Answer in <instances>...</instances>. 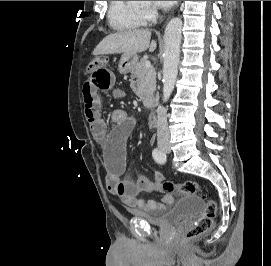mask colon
Listing matches in <instances>:
<instances>
[{
	"label": "colon",
	"mask_w": 271,
	"mask_h": 266,
	"mask_svg": "<svg viewBox=\"0 0 271 266\" xmlns=\"http://www.w3.org/2000/svg\"><path fill=\"white\" fill-rule=\"evenodd\" d=\"M108 58L96 57L92 59L88 65V70L108 65ZM162 187L165 191L180 195H202L206 199L205 207L198 220L187 230L185 239L187 241L194 240L206 234L213 226L214 218L217 211V204L213 199L203 194L200 185L195 181H187L184 183H174L172 181H164Z\"/></svg>",
	"instance_id": "5ec220e1"
}]
</instances>
